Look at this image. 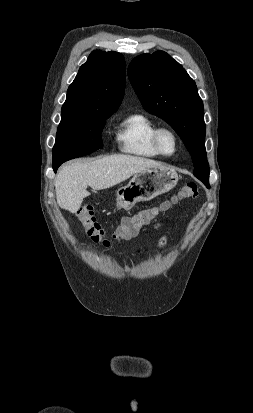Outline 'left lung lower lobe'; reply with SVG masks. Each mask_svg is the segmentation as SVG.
Listing matches in <instances>:
<instances>
[{
    "label": "left lung lower lobe",
    "mask_w": 253,
    "mask_h": 413,
    "mask_svg": "<svg viewBox=\"0 0 253 413\" xmlns=\"http://www.w3.org/2000/svg\"><path fill=\"white\" fill-rule=\"evenodd\" d=\"M207 188H210L209 182H203Z\"/></svg>",
    "instance_id": "1"
}]
</instances>
